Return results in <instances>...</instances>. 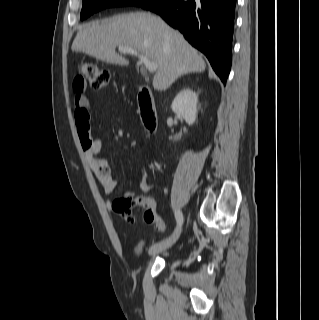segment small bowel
<instances>
[{"instance_id":"obj_1","label":"small bowel","mask_w":319,"mask_h":320,"mask_svg":"<svg viewBox=\"0 0 319 320\" xmlns=\"http://www.w3.org/2000/svg\"><path fill=\"white\" fill-rule=\"evenodd\" d=\"M76 96H75V121L77 124L78 134L80 138L81 145L83 147L84 155L87 161L91 164L97 179L99 180L103 191L106 195H110L114 192L116 183L113 179L111 173L108 170V163L105 159L98 158L97 155L101 150L104 139L102 137L92 138V136H86L81 132V124L84 117L90 119L93 114L90 102L85 96L84 87L81 89L75 86ZM139 188L142 192H149L152 190L156 184L154 182H149L146 180L145 174L142 173L139 179ZM143 202L139 206L145 211H150L155 213L156 205L154 200L149 197H141ZM156 214V213H155Z\"/></svg>"}]
</instances>
